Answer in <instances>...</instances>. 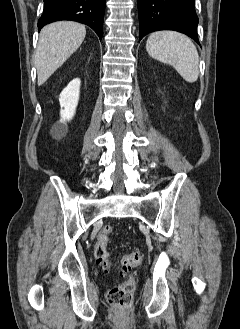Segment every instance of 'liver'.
<instances>
[{
    "label": "liver",
    "instance_id": "liver-1",
    "mask_svg": "<svg viewBox=\"0 0 240 329\" xmlns=\"http://www.w3.org/2000/svg\"><path fill=\"white\" fill-rule=\"evenodd\" d=\"M85 35V26L71 21L55 22L41 30L35 53L39 86L80 47Z\"/></svg>",
    "mask_w": 240,
    "mask_h": 329
}]
</instances>
